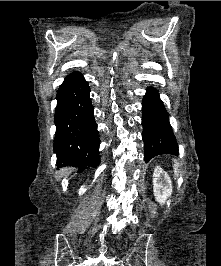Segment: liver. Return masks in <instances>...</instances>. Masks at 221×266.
<instances>
[{"label":"liver","mask_w":221,"mask_h":266,"mask_svg":"<svg viewBox=\"0 0 221 266\" xmlns=\"http://www.w3.org/2000/svg\"><path fill=\"white\" fill-rule=\"evenodd\" d=\"M71 170H72L71 168H66V169H64V170L62 171V173H63V174H64V173H69Z\"/></svg>","instance_id":"obj_1"}]
</instances>
